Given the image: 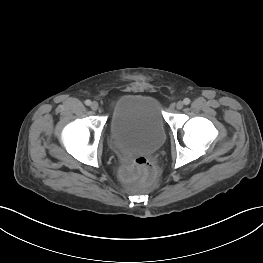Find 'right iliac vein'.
<instances>
[{
	"mask_svg": "<svg viewBox=\"0 0 263 263\" xmlns=\"http://www.w3.org/2000/svg\"><path fill=\"white\" fill-rule=\"evenodd\" d=\"M91 109H92L93 111H96V110L98 109V103H97V102H92V103H91Z\"/></svg>",
	"mask_w": 263,
	"mask_h": 263,
	"instance_id": "63e3f726",
	"label": "right iliac vein"
}]
</instances>
